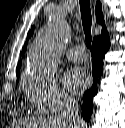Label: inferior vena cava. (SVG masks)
I'll use <instances>...</instances> for the list:
<instances>
[{
  "label": "inferior vena cava",
  "mask_w": 125,
  "mask_h": 128,
  "mask_svg": "<svg viewBox=\"0 0 125 128\" xmlns=\"http://www.w3.org/2000/svg\"><path fill=\"white\" fill-rule=\"evenodd\" d=\"M68 128H79L81 119L78 117V105L69 103L66 105L65 115L62 119Z\"/></svg>",
  "instance_id": "602c4592"
}]
</instances>
